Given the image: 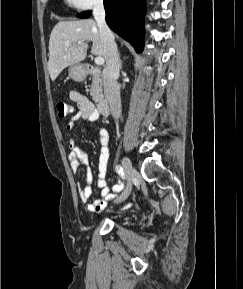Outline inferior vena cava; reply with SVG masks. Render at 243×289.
<instances>
[{
    "label": "inferior vena cava",
    "mask_w": 243,
    "mask_h": 289,
    "mask_svg": "<svg viewBox=\"0 0 243 289\" xmlns=\"http://www.w3.org/2000/svg\"><path fill=\"white\" fill-rule=\"evenodd\" d=\"M93 15L97 22L100 37L104 48L106 65L103 70L104 94L110 105L112 116L119 119L122 113L120 89L117 85L120 62L114 35L105 20L103 0H97L94 4Z\"/></svg>",
    "instance_id": "1"
}]
</instances>
